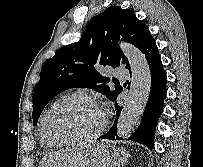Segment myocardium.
<instances>
[{
    "label": "myocardium",
    "mask_w": 203,
    "mask_h": 167,
    "mask_svg": "<svg viewBox=\"0 0 203 167\" xmlns=\"http://www.w3.org/2000/svg\"><path fill=\"white\" fill-rule=\"evenodd\" d=\"M79 100L90 103L101 113L102 123H101L100 127L94 133H92L86 137H83V138L60 139V138H56V137L52 136L47 130L48 119L54 113H56L57 111H59L60 109L65 107L66 105H68L72 102H75V101H79ZM106 124H107L106 116L97 108V106H96L95 102L92 100V98L85 93H75L71 96L61 99L58 103H56L53 107H51L43 116L40 127H41V132L46 140L53 142L55 144H58V145H74V144H84V143H88V142H92V141L96 140L105 130Z\"/></svg>",
    "instance_id": "myocardium-1"
}]
</instances>
